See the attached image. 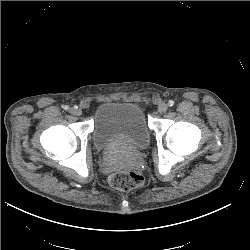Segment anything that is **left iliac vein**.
<instances>
[{
    "label": "left iliac vein",
    "mask_w": 250,
    "mask_h": 250,
    "mask_svg": "<svg viewBox=\"0 0 250 250\" xmlns=\"http://www.w3.org/2000/svg\"><path fill=\"white\" fill-rule=\"evenodd\" d=\"M168 109V105L166 103H160L158 106V112L165 113Z\"/></svg>",
    "instance_id": "1"
}]
</instances>
